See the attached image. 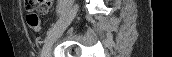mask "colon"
Returning a JSON list of instances; mask_svg holds the SVG:
<instances>
[{
    "label": "colon",
    "instance_id": "obj_1",
    "mask_svg": "<svg viewBox=\"0 0 172 57\" xmlns=\"http://www.w3.org/2000/svg\"><path fill=\"white\" fill-rule=\"evenodd\" d=\"M44 0H30L28 1L29 3V7H28V10H29V13L26 17V21H27V24L28 26L35 32L39 31L40 30V20H39V17L38 15L34 12V7L36 5H40L41 3H43Z\"/></svg>",
    "mask_w": 172,
    "mask_h": 57
}]
</instances>
